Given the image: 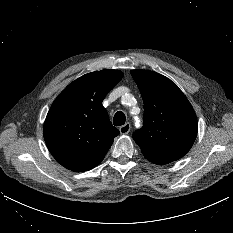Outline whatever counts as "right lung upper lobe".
I'll return each instance as SVG.
<instances>
[{
  "label": "right lung upper lobe",
  "instance_id": "obj_1",
  "mask_svg": "<svg viewBox=\"0 0 233 233\" xmlns=\"http://www.w3.org/2000/svg\"><path fill=\"white\" fill-rule=\"evenodd\" d=\"M119 70L95 71L68 85L53 102L43 135L53 157L72 171L96 167L119 135L102 101L122 79Z\"/></svg>",
  "mask_w": 233,
  "mask_h": 233
}]
</instances>
